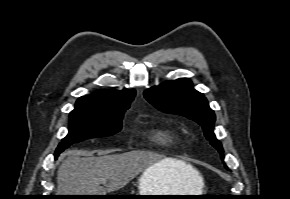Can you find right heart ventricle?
<instances>
[{"label":"right heart ventricle","instance_id":"1","mask_svg":"<svg viewBox=\"0 0 290 199\" xmlns=\"http://www.w3.org/2000/svg\"><path fill=\"white\" fill-rule=\"evenodd\" d=\"M154 137L157 140L166 143L174 139V134L167 130L157 129L154 131Z\"/></svg>","mask_w":290,"mask_h":199}]
</instances>
